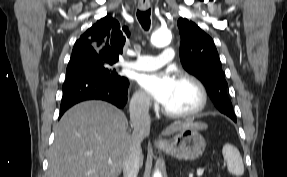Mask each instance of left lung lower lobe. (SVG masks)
<instances>
[{
  "instance_id": "left-lung-lower-lobe-1",
  "label": "left lung lower lobe",
  "mask_w": 287,
  "mask_h": 177,
  "mask_svg": "<svg viewBox=\"0 0 287 177\" xmlns=\"http://www.w3.org/2000/svg\"><path fill=\"white\" fill-rule=\"evenodd\" d=\"M233 121H235L236 122V118H235V116H229Z\"/></svg>"
}]
</instances>
